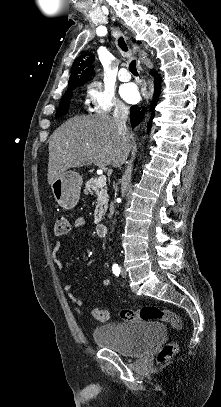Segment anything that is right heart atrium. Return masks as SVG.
Returning <instances> with one entry per match:
<instances>
[{"mask_svg": "<svg viewBox=\"0 0 221 407\" xmlns=\"http://www.w3.org/2000/svg\"><path fill=\"white\" fill-rule=\"evenodd\" d=\"M88 106L95 113H125L127 106L109 88L98 82H90L85 87Z\"/></svg>", "mask_w": 221, "mask_h": 407, "instance_id": "right-heart-atrium-1", "label": "right heart atrium"}]
</instances>
